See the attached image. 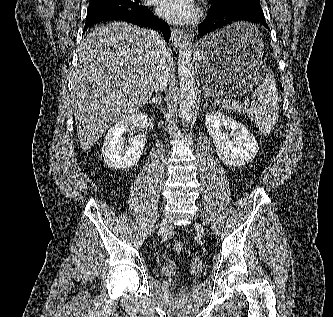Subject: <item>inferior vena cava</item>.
Wrapping results in <instances>:
<instances>
[{
	"mask_svg": "<svg viewBox=\"0 0 333 317\" xmlns=\"http://www.w3.org/2000/svg\"><path fill=\"white\" fill-rule=\"evenodd\" d=\"M157 43L160 44V54L161 58L157 64L156 68V79L154 83V90L156 92L163 91L169 81L167 74V64H166V54L167 48L166 43L159 34H156Z\"/></svg>",
	"mask_w": 333,
	"mask_h": 317,
	"instance_id": "inferior-vena-cava-1",
	"label": "inferior vena cava"
}]
</instances>
